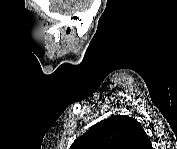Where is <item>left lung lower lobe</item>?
Masks as SVG:
<instances>
[{
	"mask_svg": "<svg viewBox=\"0 0 177 149\" xmlns=\"http://www.w3.org/2000/svg\"><path fill=\"white\" fill-rule=\"evenodd\" d=\"M148 137V136H147ZM149 139V138H148ZM151 147L150 145V140H149V144L147 145V148L149 149Z\"/></svg>",
	"mask_w": 177,
	"mask_h": 149,
	"instance_id": "0a47b994",
	"label": "left lung lower lobe"
}]
</instances>
